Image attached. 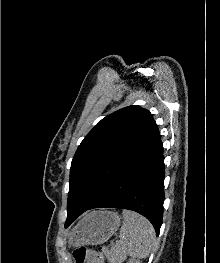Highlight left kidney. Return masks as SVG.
<instances>
[{
    "label": "left kidney",
    "mask_w": 220,
    "mask_h": 263,
    "mask_svg": "<svg viewBox=\"0 0 220 263\" xmlns=\"http://www.w3.org/2000/svg\"><path fill=\"white\" fill-rule=\"evenodd\" d=\"M127 263H142V262H140L139 260H130L129 262H127Z\"/></svg>",
    "instance_id": "obj_1"
}]
</instances>
